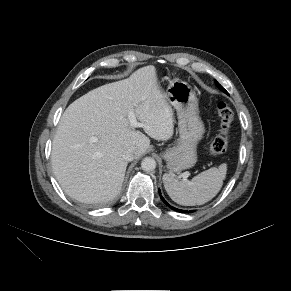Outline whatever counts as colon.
Returning <instances> with one entry per match:
<instances>
[{
  "label": "colon",
  "mask_w": 291,
  "mask_h": 291,
  "mask_svg": "<svg viewBox=\"0 0 291 291\" xmlns=\"http://www.w3.org/2000/svg\"><path fill=\"white\" fill-rule=\"evenodd\" d=\"M217 112L220 119V131L210 143L209 151L212 155L226 152L229 144V130L233 122V111L226 102L217 104Z\"/></svg>",
  "instance_id": "obj_1"
}]
</instances>
